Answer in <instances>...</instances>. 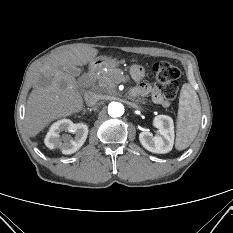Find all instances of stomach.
I'll return each mask as SVG.
<instances>
[{"mask_svg":"<svg viewBox=\"0 0 233 233\" xmlns=\"http://www.w3.org/2000/svg\"><path fill=\"white\" fill-rule=\"evenodd\" d=\"M117 64L118 62L115 59L101 56L95 58L92 62H90V67L101 69L105 66L114 67Z\"/></svg>","mask_w":233,"mask_h":233,"instance_id":"obj_1","label":"stomach"}]
</instances>
